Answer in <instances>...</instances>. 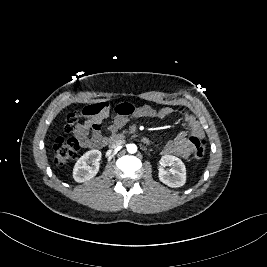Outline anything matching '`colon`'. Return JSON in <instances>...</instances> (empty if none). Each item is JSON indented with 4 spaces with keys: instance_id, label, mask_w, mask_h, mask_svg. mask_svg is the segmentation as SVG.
Wrapping results in <instances>:
<instances>
[{
    "instance_id": "colon-1",
    "label": "colon",
    "mask_w": 267,
    "mask_h": 267,
    "mask_svg": "<svg viewBox=\"0 0 267 267\" xmlns=\"http://www.w3.org/2000/svg\"><path fill=\"white\" fill-rule=\"evenodd\" d=\"M88 111L84 108L83 110H76L69 113L66 116L65 130L69 133L74 132L78 120L85 116ZM192 143L194 146V157L197 160H201L205 154V141L203 139L193 138ZM80 150L79 142L76 138H64L57 137L54 142V159L58 165H64L74 160Z\"/></svg>"
}]
</instances>
